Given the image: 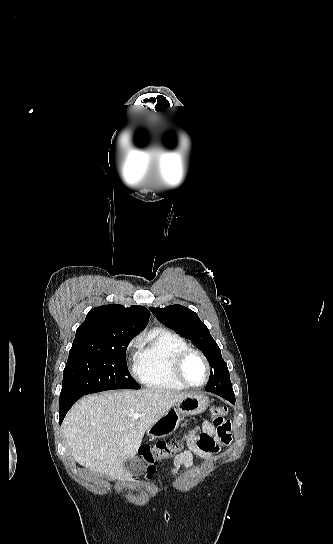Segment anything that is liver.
Returning a JSON list of instances; mask_svg holds the SVG:
<instances>
[{
    "mask_svg": "<svg viewBox=\"0 0 333 544\" xmlns=\"http://www.w3.org/2000/svg\"><path fill=\"white\" fill-rule=\"evenodd\" d=\"M186 396L185 392L141 389L83 397L63 422L71 455L80 465L110 479H129L124 461L136 455L145 431ZM134 413L141 414L139 419H132Z\"/></svg>",
    "mask_w": 333,
    "mask_h": 544,
    "instance_id": "obj_1",
    "label": "liver"
}]
</instances>
